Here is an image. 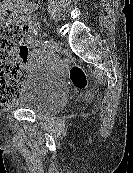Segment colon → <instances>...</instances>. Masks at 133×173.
Segmentation results:
<instances>
[{
	"instance_id": "1",
	"label": "colon",
	"mask_w": 133,
	"mask_h": 173,
	"mask_svg": "<svg viewBox=\"0 0 133 173\" xmlns=\"http://www.w3.org/2000/svg\"><path fill=\"white\" fill-rule=\"evenodd\" d=\"M30 32L27 20H17L7 9L0 14V107L11 105L16 99L26 70L23 61L29 49L24 36ZM18 45V52L15 50ZM70 80L79 89L87 85L85 71L80 66L70 70Z\"/></svg>"
}]
</instances>
